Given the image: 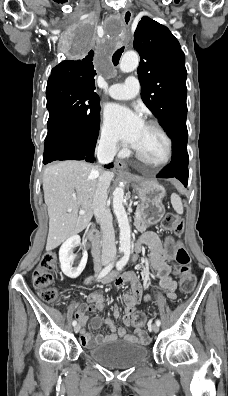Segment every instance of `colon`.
Segmentation results:
<instances>
[{"mask_svg":"<svg viewBox=\"0 0 228 396\" xmlns=\"http://www.w3.org/2000/svg\"><path fill=\"white\" fill-rule=\"evenodd\" d=\"M163 228L176 235L183 232V221L181 216L169 213L162 220ZM174 259L178 265V275L180 279L181 289L183 292H191L195 286L196 278L191 271V257L183 246L182 242H177L173 247ZM58 259L55 253L46 252L39 264L36 266L33 275V285L39 291L43 301L50 304L59 302V294L53 286V271L57 268ZM133 326L143 328L146 318L142 312H134L132 314Z\"/></svg>","mask_w":228,"mask_h":396,"instance_id":"colon-1","label":"colon"}]
</instances>
